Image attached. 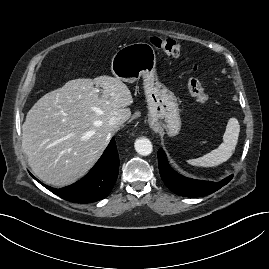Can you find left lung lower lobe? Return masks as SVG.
<instances>
[{
	"label": "left lung lower lobe",
	"instance_id": "obj_1",
	"mask_svg": "<svg viewBox=\"0 0 269 269\" xmlns=\"http://www.w3.org/2000/svg\"><path fill=\"white\" fill-rule=\"evenodd\" d=\"M158 164L161 178L166 186L174 193L185 197L209 195L226 185L233 177L230 175L220 182H211L181 176L170 167L162 149L158 150Z\"/></svg>",
	"mask_w": 269,
	"mask_h": 269
}]
</instances>
